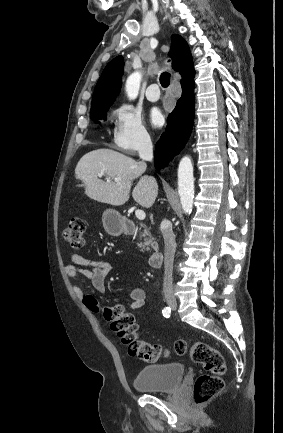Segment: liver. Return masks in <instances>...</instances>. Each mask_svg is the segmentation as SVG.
Returning a JSON list of instances; mask_svg holds the SVG:
<instances>
[{
	"mask_svg": "<svg viewBox=\"0 0 283 433\" xmlns=\"http://www.w3.org/2000/svg\"><path fill=\"white\" fill-rule=\"evenodd\" d=\"M147 168L144 160H134L111 148H97L84 154L76 164V178H80L85 186V194L100 200L120 206L129 200L133 180L141 176ZM97 172H104L108 178H98ZM120 176L121 180H114ZM157 184L153 176L144 174L139 178L132 190V196L138 204L149 208L157 196Z\"/></svg>",
	"mask_w": 283,
	"mask_h": 433,
	"instance_id": "1",
	"label": "liver"
}]
</instances>
